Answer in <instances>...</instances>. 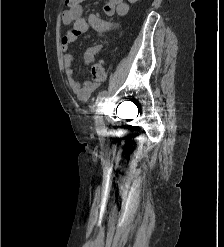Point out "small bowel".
I'll return each instance as SVG.
<instances>
[{
	"instance_id": "c3829d8e",
	"label": "small bowel",
	"mask_w": 224,
	"mask_h": 247,
	"mask_svg": "<svg viewBox=\"0 0 224 247\" xmlns=\"http://www.w3.org/2000/svg\"><path fill=\"white\" fill-rule=\"evenodd\" d=\"M103 11L108 16H112L114 14L125 16L129 11V5L124 0H108L104 4ZM62 22L64 25L72 26L71 29H69L62 38L61 42L62 50L64 52V73L71 91L79 99L86 100L98 88L99 81H87L83 84H80L75 79L72 68L74 56L69 52V49L77 37L80 34L86 32L90 27L103 38L107 39V33L118 29V25L114 22L103 20L94 13H89L87 17H83V9L81 5L65 10L62 14ZM101 47L102 44H97L88 48L83 54L84 63L91 64L95 60V57L100 51Z\"/></svg>"
}]
</instances>
